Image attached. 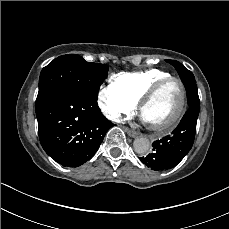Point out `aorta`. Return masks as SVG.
<instances>
[{
  "instance_id": "1",
  "label": "aorta",
  "mask_w": 229,
  "mask_h": 229,
  "mask_svg": "<svg viewBox=\"0 0 229 229\" xmlns=\"http://www.w3.org/2000/svg\"><path fill=\"white\" fill-rule=\"evenodd\" d=\"M133 147L137 154L143 155L149 151L150 142L147 138L139 137L134 140Z\"/></svg>"
}]
</instances>
